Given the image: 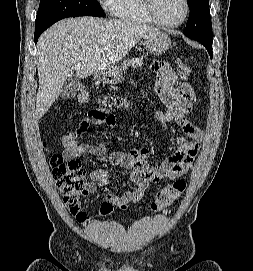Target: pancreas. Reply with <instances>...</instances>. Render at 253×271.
<instances>
[{
	"label": "pancreas",
	"instance_id": "1",
	"mask_svg": "<svg viewBox=\"0 0 253 271\" xmlns=\"http://www.w3.org/2000/svg\"><path fill=\"white\" fill-rule=\"evenodd\" d=\"M143 65V58L142 57H136L131 58L129 60H125L121 65V70L126 71V69L131 66L133 68L141 67Z\"/></svg>",
	"mask_w": 253,
	"mask_h": 271
}]
</instances>
